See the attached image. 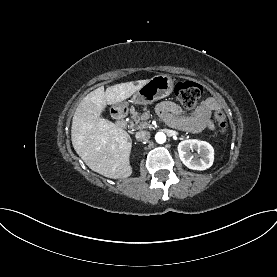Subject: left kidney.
Returning a JSON list of instances; mask_svg holds the SVG:
<instances>
[{"label": "left kidney", "instance_id": "5707ae66", "mask_svg": "<svg viewBox=\"0 0 277 277\" xmlns=\"http://www.w3.org/2000/svg\"><path fill=\"white\" fill-rule=\"evenodd\" d=\"M194 150L198 152L199 158L191 153ZM178 153L182 163L193 170H206L214 161V149L206 141L197 139L181 141L178 145Z\"/></svg>", "mask_w": 277, "mask_h": 277}]
</instances>
